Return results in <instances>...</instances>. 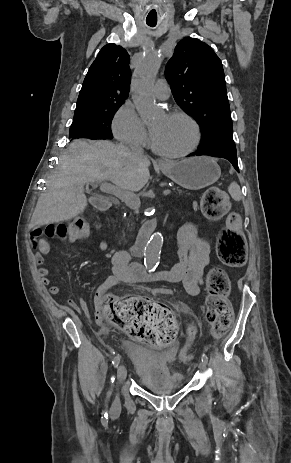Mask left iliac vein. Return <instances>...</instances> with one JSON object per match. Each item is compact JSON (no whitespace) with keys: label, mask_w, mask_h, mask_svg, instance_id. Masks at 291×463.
<instances>
[{"label":"left iliac vein","mask_w":291,"mask_h":463,"mask_svg":"<svg viewBox=\"0 0 291 463\" xmlns=\"http://www.w3.org/2000/svg\"><path fill=\"white\" fill-rule=\"evenodd\" d=\"M198 367L201 371H204L206 368V363L200 361Z\"/></svg>","instance_id":"obj_1"}]
</instances>
